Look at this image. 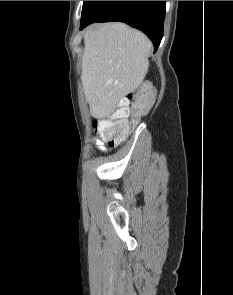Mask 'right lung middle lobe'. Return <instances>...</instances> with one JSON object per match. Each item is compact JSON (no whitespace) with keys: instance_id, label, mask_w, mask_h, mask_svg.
Wrapping results in <instances>:
<instances>
[{"instance_id":"obj_1","label":"right lung middle lobe","mask_w":233,"mask_h":295,"mask_svg":"<svg viewBox=\"0 0 233 295\" xmlns=\"http://www.w3.org/2000/svg\"><path fill=\"white\" fill-rule=\"evenodd\" d=\"M89 2L90 1H83L82 14H83L84 10L86 9V7H87V5H88Z\"/></svg>"}]
</instances>
